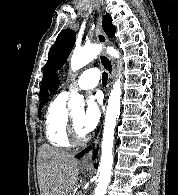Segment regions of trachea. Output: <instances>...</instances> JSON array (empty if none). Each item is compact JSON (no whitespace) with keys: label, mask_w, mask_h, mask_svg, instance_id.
Wrapping results in <instances>:
<instances>
[{"label":"trachea","mask_w":178,"mask_h":195,"mask_svg":"<svg viewBox=\"0 0 178 195\" xmlns=\"http://www.w3.org/2000/svg\"><path fill=\"white\" fill-rule=\"evenodd\" d=\"M107 79H108V74L104 71L102 73V82H103L104 85L107 84Z\"/></svg>","instance_id":"obj_1"}]
</instances>
